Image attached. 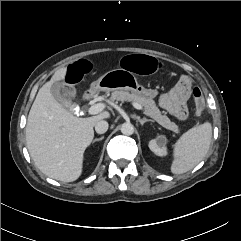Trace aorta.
Masks as SVG:
<instances>
[{
  "instance_id": "762f6f07",
  "label": "aorta",
  "mask_w": 241,
  "mask_h": 241,
  "mask_svg": "<svg viewBox=\"0 0 241 241\" xmlns=\"http://www.w3.org/2000/svg\"><path fill=\"white\" fill-rule=\"evenodd\" d=\"M121 132L124 135H132L134 133V126L130 122H125L121 126Z\"/></svg>"
}]
</instances>
